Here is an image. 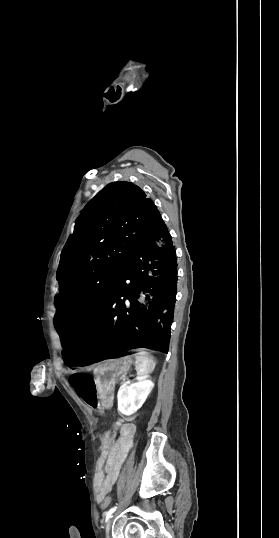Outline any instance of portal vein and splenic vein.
<instances>
[{
    "instance_id": "obj_1",
    "label": "portal vein and splenic vein",
    "mask_w": 279,
    "mask_h": 538,
    "mask_svg": "<svg viewBox=\"0 0 279 538\" xmlns=\"http://www.w3.org/2000/svg\"><path fill=\"white\" fill-rule=\"evenodd\" d=\"M126 383H129V377H126Z\"/></svg>"
}]
</instances>
